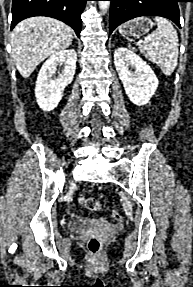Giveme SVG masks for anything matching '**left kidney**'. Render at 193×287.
<instances>
[{
  "mask_svg": "<svg viewBox=\"0 0 193 287\" xmlns=\"http://www.w3.org/2000/svg\"><path fill=\"white\" fill-rule=\"evenodd\" d=\"M114 63L130 101L138 106L149 103L158 87V79L150 66L124 47L115 50ZM130 66L135 69L134 72L129 69Z\"/></svg>",
  "mask_w": 193,
  "mask_h": 287,
  "instance_id": "1",
  "label": "left kidney"
}]
</instances>
